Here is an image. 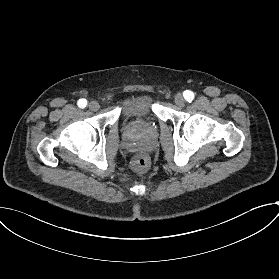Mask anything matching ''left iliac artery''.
Wrapping results in <instances>:
<instances>
[{
    "instance_id": "obj_1",
    "label": "left iliac artery",
    "mask_w": 279,
    "mask_h": 279,
    "mask_svg": "<svg viewBox=\"0 0 279 279\" xmlns=\"http://www.w3.org/2000/svg\"><path fill=\"white\" fill-rule=\"evenodd\" d=\"M183 96L189 103L194 99V93L190 90L184 91Z\"/></svg>"
}]
</instances>
